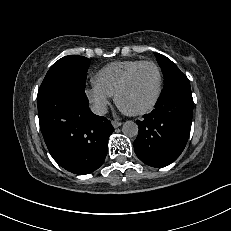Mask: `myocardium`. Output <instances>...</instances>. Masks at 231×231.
Wrapping results in <instances>:
<instances>
[{
	"label": "myocardium",
	"instance_id": "myocardium-1",
	"mask_svg": "<svg viewBox=\"0 0 231 231\" xmlns=\"http://www.w3.org/2000/svg\"><path fill=\"white\" fill-rule=\"evenodd\" d=\"M152 66L156 73H157V89H156V93L152 99V101L145 106L144 108H141L139 110H135V111H129L126 110L125 108L122 107L121 103H120V98L122 93L125 91V89L129 86L133 76L135 75V73L143 66ZM162 90H163V74L161 71V68L159 67V65L153 61H142L139 64H137L135 67H133L125 76V78L123 79V81L121 82V84L119 85L116 93H115V102L117 104V106L125 113L130 114V115H134V116H138V115H143L146 114L148 112H150L158 103L161 94H162Z\"/></svg>",
	"mask_w": 231,
	"mask_h": 231
}]
</instances>
